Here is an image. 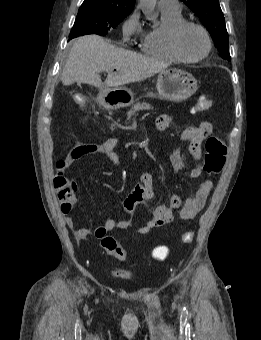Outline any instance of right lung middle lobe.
Returning <instances> with one entry per match:
<instances>
[{"mask_svg": "<svg viewBox=\"0 0 261 340\" xmlns=\"http://www.w3.org/2000/svg\"><path fill=\"white\" fill-rule=\"evenodd\" d=\"M126 16L127 14L109 8L81 6L69 38L86 34L105 36L111 28H115Z\"/></svg>", "mask_w": 261, "mask_h": 340, "instance_id": "1", "label": "right lung middle lobe"}]
</instances>
